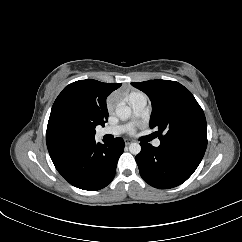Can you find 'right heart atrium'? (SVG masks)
<instances>
[{
	"mask_svg": "<svg viewBox=\"0 0 242 242\" xmlns=\"http://www.w3.org/2000/svg\"><path fill=\"white\" fill-rule=\"evenodd\" d=\"M113 107V102L112 101H109L108 102V108L111 109Z\"/></svg>",
	"mask_w": 242,
	"mask_h": 242,
	"instance_id": "right-heart-atrium-1",
	"label": "right heart atrium"
}]
</instances>
